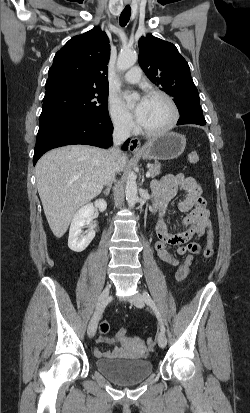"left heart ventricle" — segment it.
<instances>
[{"label": "left heart ventricle", "instance_id": "left-heart-ventricle-1", "mask_svg": "<svg viewBox=\"0 0 250 413\" xmlns=\"http://www.w3.org/2000/svg\"><path fill=\"white\" fill-rule=\"evenodd\" d=\"M172 110L161 98L149 97L140 124L148 130H159L169 124Z\"/></svg>", "mask_w": 250, "mask_h": 413}]
</instances>
